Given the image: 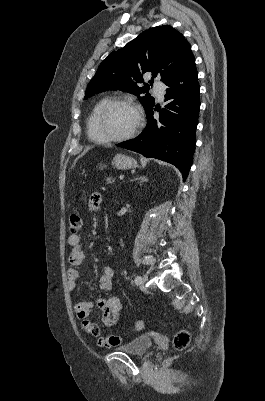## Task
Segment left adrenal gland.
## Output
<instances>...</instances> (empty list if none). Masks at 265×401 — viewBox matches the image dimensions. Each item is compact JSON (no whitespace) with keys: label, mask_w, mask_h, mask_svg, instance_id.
Returning <instances> with one entry per match:
<instances>
[{"label":"left adrenal gland","mask_w":265,"mask_h":401,"mask_svg":"<svg viewBox=\"0 0 265 401\" xmlns=\"http://www.w3.org/2000/svg\"><path fill=\"white\" fill-rule=\"evenodd\" d=\"M134 180H140V182H146V176H139V178H134Z\"/></svg>","instance_id":"a2214340"}]
</instances>
